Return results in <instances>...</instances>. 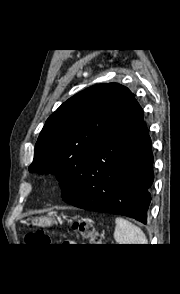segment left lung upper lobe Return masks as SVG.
Here are the masks:
<instances>
[{
  "label": "left lung upper lobe",
  "instance_id": "1",
  "mask_svg": "<svg viewBox=\"0 0 180 294\" xmlns=\"http://www.w3.org/2000/svg\"><path fill=\"white\" fill-rule=\"evenodd\" d=\"M135 101L118 83L91 86L64 102L46 121L30 172L52 173L62 197L76 191L94 153Z\"/></svg>",
  "mask_w": 180,
  "mask_h": 294
}]
</instances>
